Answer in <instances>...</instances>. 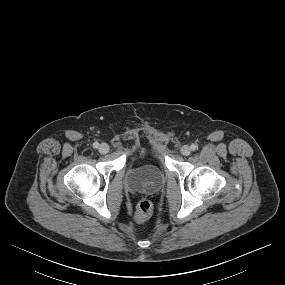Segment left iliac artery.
Instances as JSON below:
<instances>
[{"label": "left iliac artery", "instance_id": "44dca946", "mask_svg": "<svg viewBox=\"0 0 285 285\" xmlns=\"http://www.w3.org/2000/svg\"><path fill=\"white\" fill-rule=\"evenodd\" d=\"M190 148H191L192 151H195V150H197V145L196 144H191Z\"/></svg>", "mask_w": 285, "mask_h": 285}]
</instances>
